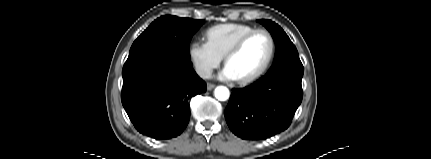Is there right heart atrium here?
Instances as JSON below:
<instances>
[{
    "instance_id": "d8ad5b80",
    "label": "right heart atrium",
    "mask_w": 431,
    "mask_h": 159,
    "mask_svg": "<svg viewBox=\"0 0 431 159\" xmlns=\"http://www.w3.org/2000/svg\"><path fill=\"white\" fill-rule=\"evenodd\" d=\"M188 53L196 72L202 78H209L214 69L220 65L223 58L207 41L201 39L190 43Z\"/></svg>"
}]
</instances>
